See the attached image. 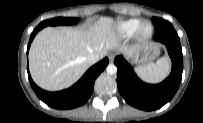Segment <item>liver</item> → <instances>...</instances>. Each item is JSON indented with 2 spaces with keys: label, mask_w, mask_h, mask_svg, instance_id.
Wrapping results in <instances>:
<instances>
[{
  "label": "liver",
  "mask_w": 203,
  "mask_h": 123,
  "mask_svg": "<svg viewBox=\"0 0 203 123\" xmlns=\"http://www.w3.org/2000/svg\"><path fill=\"white\" fill-rule=\"evenodd\" d=\"M134 46L121 45L114 20L101 17L88 28L46 27L34 38L29 51V69L42 89L59 91L73 85L90 67L87 56L102 59L110 50L131 55Z\"/></svg>",
  "instance_id": "obj_1"
}]
</instances>
